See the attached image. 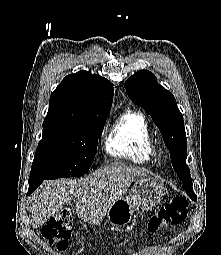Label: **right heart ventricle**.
<instances>
[{
    "label": "right heart ventricle",
    "mask_w": 221,
    "mask_h": 255,
    "mask_svg": "<svg viewBox=\"0 0 221 255\" xmlns=\"http://www.w3.org/2000/svg\"><path fill=\"white\" fill-rule=\"evenodd\" d=\"M153 134L146 117L138 111L126 110L111 125L106 139L108 155L147 164L152 159Z\"/></svg>",
    "instance_id": "e07e8e85"
}]
</instances>
